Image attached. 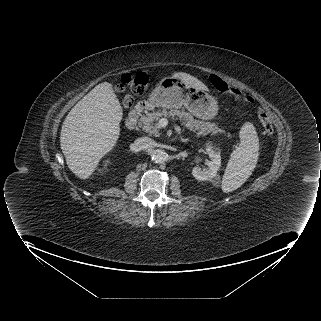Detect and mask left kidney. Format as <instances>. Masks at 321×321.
Masks as SVG:
<instances>
[{"mask_svg":"<svg viewBox=\"0 0 321 321\" xmlns=\"http://www.w3.org/2000/svg\"><path fill=\"white\" fill-rule=\"evenodd\" d=\"M206 152L210 158L208 168L201 169L199 167H194L192 170V175L199 181H211L217 175V171L221 167L220 150L208 146Z\"/></svg>","mask_w":321,"mask_h":321,"instance_id":"1","label":"left kidney"}]
</instances>
